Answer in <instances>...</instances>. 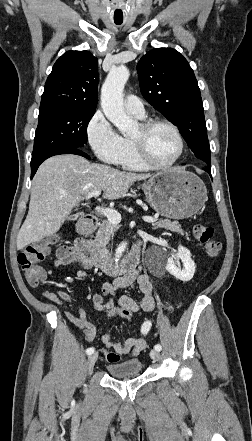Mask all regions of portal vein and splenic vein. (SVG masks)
Returning <instances> with one entry per match:
<instances>
[{
    "label": "portal vein and splenic vein",
    "mask_w": 252,
    "mask_h": 441,
    "mask_svg": "<svg viewBox=\"0 0 252 441\" xmlns=\"http://www.w3.org/2000/svg\"><path fill=\"white\" fill-rule=\"evenodd\" d=\"M100 194H101V191L90 192L86 195L85 198L90 199L92 197H98V196H100ZM96 211L98 213L102 214L103 216H105L108 219V221L110 223H112L113 225H117L121 222V215L116 210L109 209V208L97 207ZM143 220L145 222L151 223V222L157 221L158 219L154 218V217H150V216H144Z\"/></svg>",
    "instance_id": "18ae733b"
}]
</instances>
